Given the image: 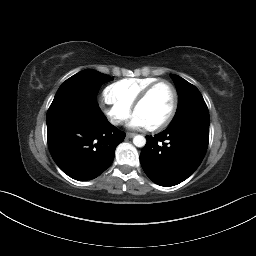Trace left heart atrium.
<instances>
[{
    "label": "left heart atrium",
    "mask_w": 256,
    "mask_h": 256,
    "mask_svg": "<svg viewBox=\"0 0 256 256\" xmlns=\"http://www.w3.org/2000/svg\"><path fill=\"white\" fill-rule=\"evenodd\" d=\"M127 126L131 129H140V128H145L146 127V125L142 121V119L139 116H137L135 113L133 114V116L129 120Z\"/></svg>",
    "instance_id": "obj_1"
}]
</instances>
